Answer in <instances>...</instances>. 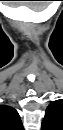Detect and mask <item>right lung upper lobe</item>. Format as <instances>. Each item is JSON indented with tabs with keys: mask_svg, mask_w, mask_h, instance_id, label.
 I'll return each mask as SVG.
<instances>
[{
	"mask_svg": "<svg viewBox=\"0 0 63 130\" xmlns=\"http://www.w3.org/2000/svg\"><path fill=\"white\" fill-rule=\"evenodd\" d=\"M0 128L2 130H22L23 126L18 112L6 105L0 106Z\"/></svg>",
	"mask_w": 63,
	"mask_h": 130,
	"instance_id": "cb5924a9",
	"label": "right lung upper lobe"
}]
</instances>
